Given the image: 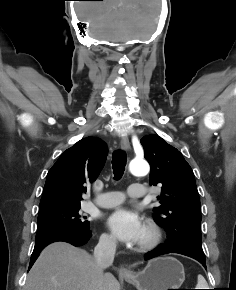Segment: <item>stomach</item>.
Returning <instances> with one entry per match:
<instances>
[{"label": "stomach", "instance_id": "0dacf381", "mask_svg": "<svg viewBox=\"0 0 236 290\" xmlns=\"http://www.w3.org/2000/svg\"><path fill=\"white\" fill-rule=\"evenodd\" d=\"M123 278L137 290L179 289L185 280V272L180 261L164 256L150 260L142 271Z\"/></svg>", "mask_w": 236, "mask_h": 290}]
</instances>
